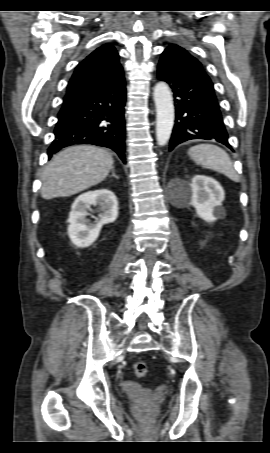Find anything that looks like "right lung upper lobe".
Here are the masks:
<instances>
[{
	"instance_id": "1",
	"label": "right lung upper lobe",
	"mask_w": 270,
	"mask_h": 453,
	"mask_svg": "<svg viewBox=\"0 0 270 453\" xmlns=\"http://www.w3.org/2000/svg\"><path fill=\"white\" fill-rule=\"evenodd\" d=\"M123 73L119 55L111 44H104L76 67L66 94L96 90Z\"/></svg>"
}]
</instances>
